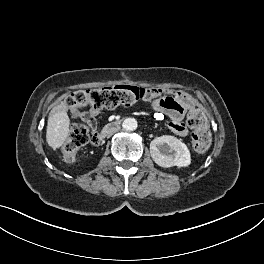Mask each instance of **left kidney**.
I'll use <instances>...</instances> for the list:
<instances>
[{
    "mask_svg": "<svg viewBox=\"0 0 264 264\" xmlns=\"http://www.w3.org/2000/svg\"><path fill=\"white\" fill-rule=\"evenodd\" d=\"M150 153L154 162L161 167H186L191 163L190 151L186 144L170 135L152 140Z\"/></svg>",
    "mask_w": 264,
    "mask_h": 264,
    "instance_id": "5707ae66",
    "label": "left kidney"
}]
</instances>
